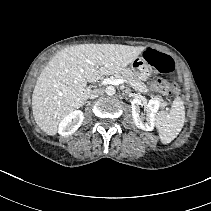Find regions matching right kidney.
I'll use <instances>...</instances> for the list:
<instances>
[{"label": "right kidney", "instance_id": "1", "mask_svg": "<svg viewBox=\"0 0 211 211\" xmlns=\"http://www.w3.org/2000/svg\"><path fill=\"white\" fill-rule=\"evenodd\" d=\"M84 114L80 110L69 113L59 124L58 133L63 137H68L75 133L81 126Z\"/></svg>", "mask_w": 211, "mask_h": 211}]
</instances>
